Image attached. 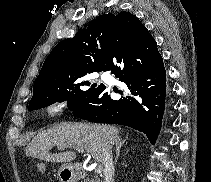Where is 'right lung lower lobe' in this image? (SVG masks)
<instances>
[{"label":"right lung lower lobe","instance_id":"1","mask_svg":"<svg viewBox=\"0 0 211 182\" xmlns=\"http://www.w3.org/2000/svg\"><path fill=\"white\" fill-rule=\"evenodd\" d=\"M108 70L126 84L125 96L113 100L106 87L100 84L73 114L95 123L132 127L145 133L154 144L166 96V71L156 41L148 34L120 47L102 71Z\"/></svg>","mask_w":211,"mask_h":182}]
</instances>
